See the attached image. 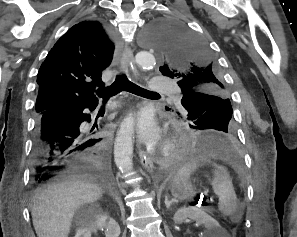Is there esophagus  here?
Listing matches in <instances>:
<instances>
[{"instance_id": "34e87169", "label": "esophagus", "mask_w": 297, "mask_h": 237, "mask_svg": "<svg viewBox=\"0 0 297 237\" xmlns=\"http://www.w3.org/2000/svg\"><path fill=\"white\" fill-rule=\"evenodd\" d=\"M133 64V52L129 47H126L121 57V70L128 71L133 67ZM139 155L144 168L148 171H151L154 167L152 158L148 154H146L142 149H139Z\"/></svg>"}]
</instances>
